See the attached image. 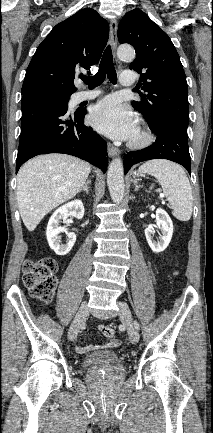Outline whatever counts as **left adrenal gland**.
I'll return each mask as SVG.
<instances>
[{
	"label": "left adrenal gland",
	"mask_w": 213,
	"mask_h": 433,
	"mask_svg": "<svg viewBox=\"0 0 213 433\" xmlns=\"http://www.w3.org/2000/svg\"><path fill=\"white\" fill-rule=\"evenodd\" d=\"M134 185H135V189H134V191H138V190H139V188L141 187V186H140V185H138L137 183H135Z\"/></svg>",
	"instance_id": "a2214340"
}]
</instances>
